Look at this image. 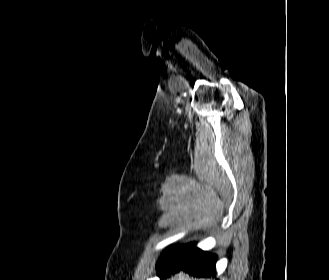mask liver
<instances>
[{
  "mask_svg": "<svg viewBox=\"0 0 329 280\" xmlns=\"http://www.w3.org/2000/svg\"><path fill=\"white\" fill-rule=\"evenodd\" d=\"M169 280H202V279H191L189 277V275L185 274V273H179L177 275V277H174L172 279H169Z\"/></svg>",
  "mask_w": 329,
  "mask_h": 280,
  "instance_id": "obj_1",
  "label": "liver"
}]
</instances>
